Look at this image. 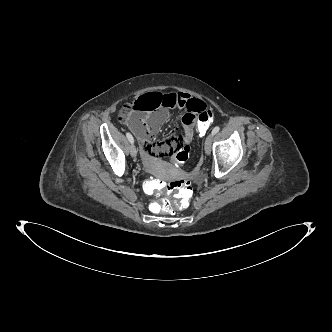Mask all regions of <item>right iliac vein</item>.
<instances>
[{
    "label": "right iliac vein",
    "mask_w": 332,
    "mask_h": 332,
    "mask_svg": "<svg viewBox=\"0 0 332 332\" xmlns=\"http://www.w3.org/2000/svg\"><path fill=\"white\" fill-rule=\"evenodd\" d=\"M130 154H131L132 157H136V155H137V148L133 143L130 147Z\"/></svg>",
    "instance_id": "63e3f726"
}]
</instances>
